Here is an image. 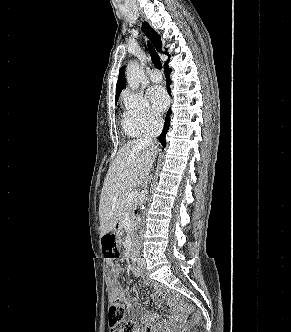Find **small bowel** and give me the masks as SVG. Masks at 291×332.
<instances>
[{
	"label": "small bowel",
	"instance_id": "c3829d8e",
	"mask_svg": "<svg viewBox=\"0 0 291 332\" xmlns=\"http://www.w3.org/2000/svg\"><path fill=\"white\" fill-rule=\"evenodd\" d=\"M122 272V267L120 265H112L110 274H109V294L111 299L115 298H126L124 291L118 289V278ZM132 272L138 276L142 277V273L138 268H133ZM164 294L160 289H156L153 299L156 303L160 304L164 299ZM168 303H170L171 298H166ZM130 312L132 316L131 324L133 326V332H140V327L142 325H147L151 323H156L159 319L157 314L148 312L143 306L138 303H132L130 307ZM183 316L180 314L172 315L171 319L162 324L161 327L173 326L177 323L182 322Z\"/></svg>",
	"mask_w": 291,
	"mask_h": 332
}]
</instances>
